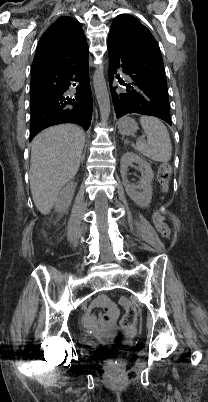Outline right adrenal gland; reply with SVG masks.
Segmentation results:
<instances>
[{
    "label": "right adrenal gland",
    "mask_w": 208,
    "mask_h": 402,
    "mask_svg": "<svg viewBox=\"0 0 208 402\" xmlns=\"http://www.w3.org/2000/svg\"><path fill=\"white\" fill-rule=\"evenodd\" d=\"M84 152H86V150H84ZM84 158H85V156H84V154H83V156H82V162H83Z\"/></svg>",
    "instance_id": "obj_1"
}]
</instances>
